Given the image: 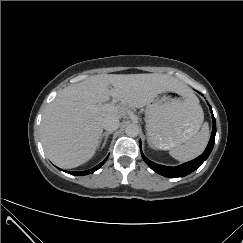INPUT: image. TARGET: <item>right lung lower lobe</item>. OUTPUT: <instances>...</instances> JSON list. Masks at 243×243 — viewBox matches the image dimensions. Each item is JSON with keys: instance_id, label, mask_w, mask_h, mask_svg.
I'll list each match as a JSON object with an SVG mask.
<instances>
[{"instance_id": "98d812e1", "label": "right lung lower lobe", "mask_w": 243, "mask_h": 243, "mask_svg": "<svg viewBox=\"0 0 243 243\" xmlns=\"http://www.w3.org/2000/svg\"><path fill=\"white\" fill-rule=\"evenodd\" d=\"M106 160H107V158H105L104 161H102L100 164H98L97 166H95L94 168H92L90 170L80 171V172H68V173L72 174V175H77V176L91 174V173L95 172L96 170H98L105 163Z\"/></svg>"}]
</instances>
